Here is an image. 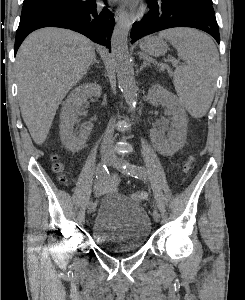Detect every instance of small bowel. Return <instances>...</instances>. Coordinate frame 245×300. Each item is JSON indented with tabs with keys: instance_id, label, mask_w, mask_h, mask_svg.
I'll return each instance as SVG.
<instances>
[{
	"instance_id": "c3829d8e",
	"label": "small bowel",
	"mask_w": 245,
	"mask_h": 300,
	"mask_svg": "<svg viewBox=\"0 0 245 300\" xmlns=\"http://www.w3.org/2000/svg\"><path fill=\"white\" fill-rule=\"evenodd\" d=\"M118 177L116 175L104 181H97L93 187L95 195H102L114 192L117 188Z\"/></svg>"
}]
</instances>
